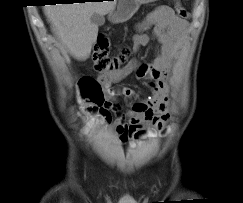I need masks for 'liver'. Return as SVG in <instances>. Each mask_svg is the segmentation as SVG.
Returning <instances> with one entry per match:
<instances>
[{
    "label": "liver",
    "instance_id": "obj_1",
    "mask_svg": "<svg viewBox=\"0 0 243 203\" xmlns=\"http://www.w3.org/2000/svg\"><path fill=\"white\" fill-rule=\"evenodd\" d=\"M115 2H85L46 5L45 14L52 24V30L78 60H86L91 53L98 34V27L91 22L94 13L106 15Z\"/></svg>",
    "mask_w": 243,
    "mask_h": 203
}]
</instances>
